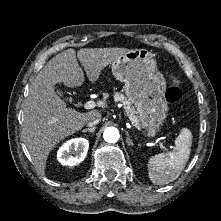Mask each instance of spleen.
I'll return each instance as SVG.
<instances>
[{
  "label": "spleen",
  "instance_id": "1",
  "mask_svg": "<svg viewBox=\"0 0 221 221\" xmlns=\"http://www.w3.org/2000/svg\"><path fill=\"white\" fill-rule=\"evenodd\" d=\"M192 133L182 128L175 139L172 152L152 156L148 161V175L156 185H165L176 180L185 168L190 156Z\"/></svg>",
  "mask_w": 221,
  "mask_h": 221
}]
</instances>
